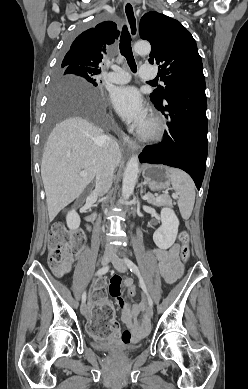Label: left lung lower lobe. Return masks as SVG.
Wrapping results in <instances>:
<instances>
[{
  "label": "left lung lower lobe",
  "mask_w": 248,
  "mask_h": 389,
  "mask_svg": "<svg viewBox=\"0 0 248 389\" xmlns=\"http://www.w3.org/2000/svg\"><path fill=\"white\" fill-rule=\"evenodd\" d=\"M155 106L167 112L168 130L161 143L143 149L140 162L180 168L200 189L208 150L205 81L180 85Z\"/></svg>",
  "instance_id": "0a47b994"
}]
</instances>
